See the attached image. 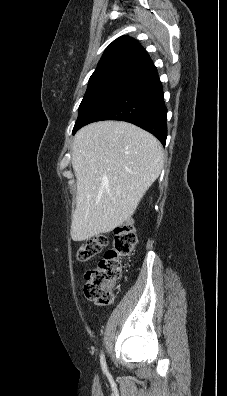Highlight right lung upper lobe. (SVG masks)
Here are the masks:
<instances>
[{
	"label": "right lung upper lobe",
	"mask_w": 227,
	"mask_h": 396,
	"mask_svg": "<svg viewBox=\"0 0 227 396\" xmlns=\"http://www.w3.org/2000/svg\"><path fill=\"white\" fill-rule=\"evenodd\" d=\"M149 61V55L136 40L122 36L107 47L94 73L110 69H128L134 72Z\"/></svg>",
	"instance_id": "1"
}]
</instances>
